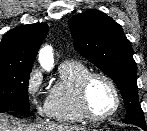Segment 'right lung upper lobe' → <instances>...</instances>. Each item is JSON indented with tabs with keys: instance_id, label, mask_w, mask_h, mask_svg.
Returning a JSON list of instances; mask_svg holds the SVG:
<instances>
[{
	"instance_id": "right-lung-upper-lobe-1",
	"label": "right lung upper lobe",
	"mask_w": 147,
	"mask_h": 131,
	"mask_svg": "<svg viewBox=\"0 0 147 131\" xmlns=\"http://www.w3.org/2000/svg\"><path fill=\"white\" fill-rule=\"evenodd\" d=\"M48 30L45 23H35L8 31L0 42V68H32Z\"/></svg>"
}]
</instances>
